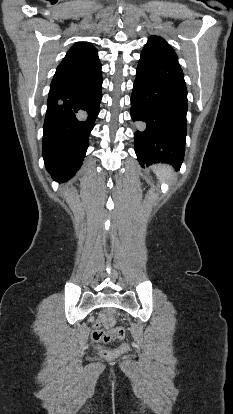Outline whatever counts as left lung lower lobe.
<instances>
[{
    "label": "left lung lower lobe",
    "instance_id": "left-lung-lower-lobe-1",
    "mask_svg": "<svg viewBox=\"0 0 233 414\" xmlns=\"http://www.w3.org/2000/svg\"><path fill=\"white\" fill-rule=\"evenodd\" d=\"M187 89L177 62L142 52L131 96L137 122L135 152L142 166L169 163L179 168L187 134Z\"/></svg>",
    "mask_w": 233,
    "mask_h": 414
}]
</instances>
